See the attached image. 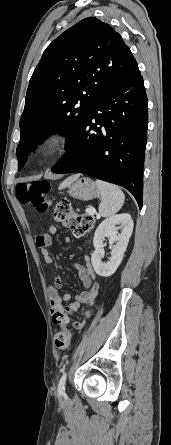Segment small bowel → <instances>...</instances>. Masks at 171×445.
Instances as JSON below:
<instances>
[{"mask_svg": "<svg viewBox=\"0 0 171 445\" xmlns=\"http://www.w3.org/2000/svg\"><path fill=\"white\" fill-rule=\"evenodd\" d=\"M58 232V227L56 225H51L47 232L41 233L36 237V245L41 250L43 259L47 265H52L54 258L50 252L49 247L53 243V237ZM68 241V238L66 239ZM85 264H76L74 269L80 278L85 290L79 293L74 301L70 302L69 294H62L61 290L63 288L62 281L59 276L55 275V285L48 289V296L50 300V312L54 322V317L57 314H66V309L76 313L80 310L82 304L92 305L95 297L99 290V284L96 280V274L92 267L90 256H84ZM65 303H69L67 307L64 306ZM54 324H56L54 322ZM57 325V324H56ZM75 329L82 328V323L75 322L73 324ZM69 332V331H68ZM70 334V332H69Z\"/></svg>", "mask_w": 171, "mask_h": 445, "instance_id": "1", "label": "small bowel"}]
</instances>
